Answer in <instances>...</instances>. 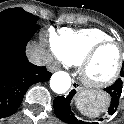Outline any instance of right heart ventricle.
Segmentation results:
<instances>
[{
	"label": "right heart ventricle",
	"instance_id": "right-heart-ventricle-1",
	"mask_svg": "<svg viewBox=\"0 0 124 124\" xmlns=\"http://www.w3.org/2000/svg\"><path fill=\"white\" fill-rule=\"evenodd\" d=\"M57 46L66 64L79 65L82 58L97 43L111 37L99 28L69 29L62 28L57 35Z\"/></svg>",
	"mask_w": 124,
	"mask_h": 124
}]
</instances>
